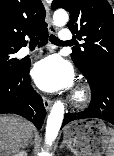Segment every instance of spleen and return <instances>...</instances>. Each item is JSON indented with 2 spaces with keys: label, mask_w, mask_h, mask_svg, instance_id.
I'll return each instance as SVG.
<instances>
[{
  "label": "spleen",
  "mask_w": 114,
  "mask_h": 156,
  "mask_svg": "<svg viewBox=\"0 0 114 156\" xmlns=\"http://www.w3.org/2000/svg\"><path fill=\"white\" fill-rule=\"evenodd\" d=\"M112 134V144L106 150V156H114V130L109 129Z\"/></svg>",
  "instance_id": "spleen-1"
}]
</instances>
